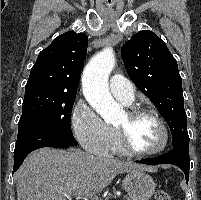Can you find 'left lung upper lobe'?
Wrapping results in <instances>:
<instances>
[{
	"label": "left lung upper lobe",
	"instance_id": "left-lung-upper-lobe-1",
	"mask_svg": "<svg viewBox=\"0 0 201 200\" xmlns=\"http://www.w3.org/2000/svg\"><path fill=\"white\" fill-rule=\"evenodd\" d=\"M121 56L129 77L166 120L173 147L189 143L182 79L164 41L149 30L140 31L122 46Z\"/></svg>",
	"mask_w": 201,
	"mask_h": 200
}]
</instances>
